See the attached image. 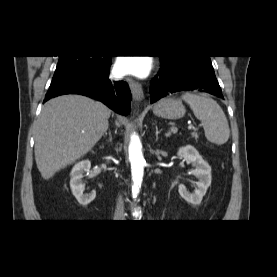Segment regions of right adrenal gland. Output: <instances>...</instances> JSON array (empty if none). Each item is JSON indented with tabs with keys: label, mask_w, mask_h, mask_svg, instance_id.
Wrapping results in <instances>:
<instances>
[{
	"label": "right adrenal gland",
	"mask_w": 277,
	"mask_h": 277,
	"mask_svg": "<svg viewBox=\"0 0 277 277\" xmlns=\"http://www.w3.org/2000/svg\"><path fill=\"white\" fill-rule=\"evenodd\" d=\"M109 137H110V141H112V136H111L110 131H109ZM100 148H104V146H101Z\"/></svg>",
	"instance_id": "2a0ac1e0"
}]
</instances>
